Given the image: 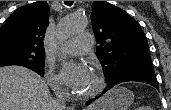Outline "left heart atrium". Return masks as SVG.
<instances>
[{
    "label": "left heart atrium",
    "instance_id": "39dd6f15",
    "mask_svg": "<svg viewBox=\"0 0 171 110\" xmlns=\"http://www.w3.org/2000/svg\"><path fill=\"white\" fill-rule=\"evenodd\" d=\"M90 71L84 64L66 62L61 69V76L65 84L73 91H78L86 81Z\"/></svg>",
    "mask_w": 171,
    "mask_h": 110
}]
</instances>
